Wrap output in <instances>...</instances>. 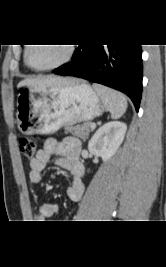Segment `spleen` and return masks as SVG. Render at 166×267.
<instances>
[{"instance_id": "obj_1", "label": "spleen", "mask_w": 166, "mask_h": 267, "mask_svg": "<svg viewBox=\"0 0 166 267\" xmlns=\"http://www.w3.org/2000/svg\"><path fill=\"white\" fill-rule=\"evenodd\" d=\"M93 88L100 96L105 108L111 113L113 119H118L125 113L128 104L126 97L122 93L97 84L93 85Z\"/></svg>"}]
</instances>
